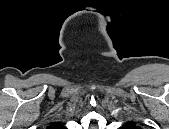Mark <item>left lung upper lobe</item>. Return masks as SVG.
<instances>
[{
    "label": "left lung upper lobe",
    "mask_w": 169,
    "mask_h": 129,
    "mask_svg": "<svg viewBox=\"0 0 169 129\" xmlns=\"http://www.w3.org/2000/svg\"><path fill=\"white\" fill-rule=\"evenodd\" d=\"M123 129H137V127L133 122H128L123 126Z\"/></svg>",
    "instance_id": "left-lung-upper-lobe-1"
}]
</instances>
